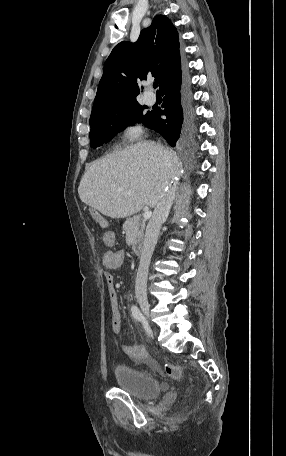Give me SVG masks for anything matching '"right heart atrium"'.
<instances>
[{
	"instance_id": "d8ad5b80",
	"label": "right heart atrium",
	"mask_w": 286,
	"mask_h": 456,
	"mask_svg": "<svg viewBox=\"0 0 286 456\" xmlns=\"http://www.w3.org/2000/svg\"><path fill=\"white\" fill-rule=\"evenodd\" d=\"M144 133L142 122L136 119L126 120L119 132L120 138L125 143H131L139 140Z\"/></svg>"
}]
</instances>
